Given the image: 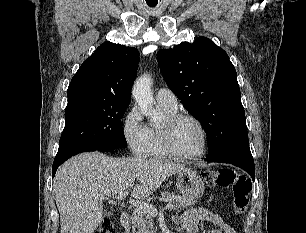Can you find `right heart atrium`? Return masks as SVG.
Listing matches in <instances>:
<instances>
[{"instance_id":"1","label":"right heart atrium","mask_w":306,"mask_h":233,"mask_svg":"<svg viewBox=\"0 0 306 233\" xmlns=\"http://www.w3.org/2000/svg\"><path fill=\"white\" fill-rule=\"evenodd\" d=\"M122 133L128 148L135 156L150 155L151 132L138 107H132L125 115Z\"/></svg>"}]
</instances>
